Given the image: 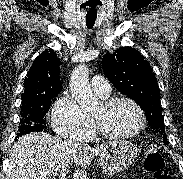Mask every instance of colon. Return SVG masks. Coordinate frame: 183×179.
Here are the masks:
<instances>
[{
    "instance_id": "colon-1",
    "label": "colon",
    "mask_w": 183,
    "mask_h": 179,
    "mask_svg": "<svg viewBox=\"0 0 183 179\" xmlns=\"http://www.w3.org/2000/svg\"><path fill=\"white\" fill-rule=\"evenodd\" d=\"M145 169L153 176L154 179H172L171 175L165 168V162L162 154L150 148L146 152Z\"/></svg>"
}]
</instances>
